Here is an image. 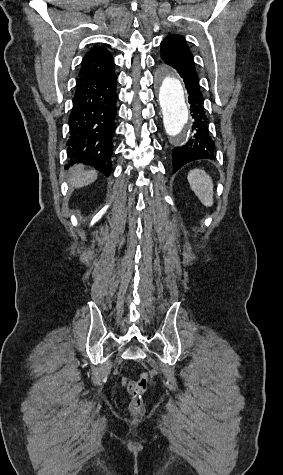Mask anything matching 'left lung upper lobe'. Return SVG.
Masks as SVG:
<instances>
[{
	"mask_svg": "<svg viewBox=\"0 0 283 475\" xmlns=\"http://www.w3.org/2000/svg\"><path fill=\"white\" fill-rule=\"evenodd\" d=\"M161 58L172 62L189 61L194 63L193 55L186 40L180 35H169L161 43Z\"/></svg>",
	"mask_w": 283,
	"mask_h": 475,
	"instance_id": "obj_1",
	"label": "left lung upper lobe"
}]
</instances>
